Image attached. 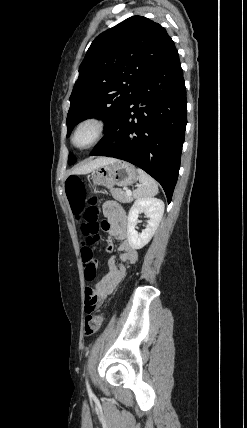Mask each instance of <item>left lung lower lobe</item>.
Masks as SVG:
<instances>
[{"instance_id": "1", "label": "left lung lower lobe", "mask_w": 247, "mask_h": 428, "mask_svg": "<svg viewBox=\"0 0 247 428\" xmlns=\"http://www.w3.org/2000/svg\"><path fill=\"white\" fill-rule=\"evenodd\" d=\"M186 104L176 49L138 86L91 155L140 167L161 184L170 203L180 168Z\"/></svg>"}]
</instances>
